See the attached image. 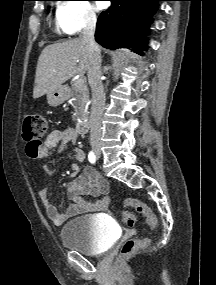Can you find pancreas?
Segmentation results:
<instances>
[{"instance_id":"cf45deb5","label":"pancreas","mask_w":216,"mask_h":285,"mask_svg":"<svg viewBox=\"0 0 216 285\" xmlns=\"http://www.w3.org/2000/svg\"><path fill=\"white\" fill-rule=\"evenodd\" d=\"M70 96L76 107L73 119L76 121L78 119H83L87 117L89 102V93L87 85L84 83L83 86L77 87L75 84H73L71 87Z\"/></svg>"}]
</instances>
